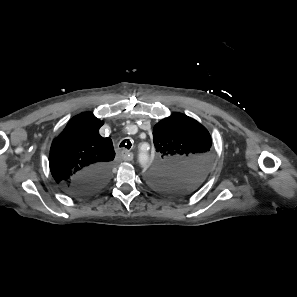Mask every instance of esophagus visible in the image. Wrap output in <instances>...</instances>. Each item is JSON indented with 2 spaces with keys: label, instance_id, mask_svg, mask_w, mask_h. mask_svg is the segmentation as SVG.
<instances>
[{
  "label": "esophagus",
  "instance_id": "34e87169",
  "mask_svg": "<svg viewBox=\"0 0 297 297\" xmlns=\"http://www.w3.org/2000/svg\"><path fill=\"white\" fill-rule=\"evenodd\" d=\"M121 157L125 161H131L133 160V153L129 152L128 150H122L121 151Z\"/></svg>",
  "mask_w": 297,
  "mask_h": 297
}]
</instances>
